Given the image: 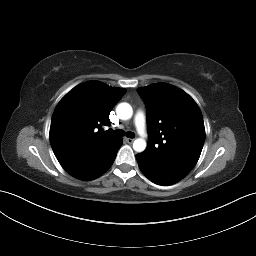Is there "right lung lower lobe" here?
Instances as JSON below:
<instances>
[{
    "label": "right lung lower lobe",
    "mask_w": 256,
    "mask_h": 256,
    "mask_svg": "<svg viewBox=\"0 0 256 256\" xmlns=\"http://www.w3.org/2000/svg\"><path fill=\"white\" fill-rule=\"evenodd\" d=\"M121 145L122 139L120 138L114 145L104 147L91 157L63 168L77 179L84 181L96 179L111 167Z\"/></svg>",
    "instance_id": "1"
}]
</instances>
